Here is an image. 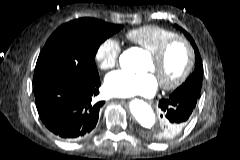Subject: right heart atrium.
<instances>
[{
  "instance_id": "obj_1",
  "label": "right heart atrium",
  "mask_w": 240,
  "mask_h": 160,
  "mask_svg": "<svg viewBox=\"0 0 240 160\" xmlns=\"http://www.w3.org/2000/svg\"><path fill=\"white\" fill-rule=\"evenodd\" d=\"M120 55V43L114 38H107L97 47L95 60L101 70L109 71L118 65Z\"/></svg>"
}]
</instances>
